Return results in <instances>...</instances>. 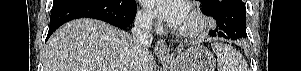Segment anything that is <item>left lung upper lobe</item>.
I'll use <instances>...</instances> for the list:
<instances>
[{"label": "left lung upper lobe", "mask_w": 301, "mask_h": 71, "mask_svg": "<svg viewBox=\"0 0 301 71\" xmlns=\"http://www.w3.org/2000/svg\"><path fill=\"white\" fill-rule=\"evenodd\" d=\"M202 3V7L204 10L210 8L213 2L218 1V0H199Z\"/></svg>", "instance_id": "obj_1"}]
</instances>
